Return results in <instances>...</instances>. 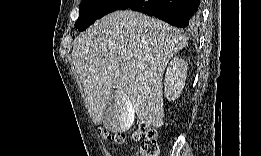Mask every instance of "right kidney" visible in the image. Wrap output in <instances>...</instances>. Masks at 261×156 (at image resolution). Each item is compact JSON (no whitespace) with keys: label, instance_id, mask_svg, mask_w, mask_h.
Returning a JSON list of instances; mask_svg holds the SVG:
<instances>
[{"label":"right kidney","instance_id":"1","mask_svg":"<svg viewBox=\"0 0 261 156\" xmlns=\"http://www.w3.org/2000/svg\"><path fill=\"white\" fill-rule=\"evenodd\" d=\"M187 64L183 59L175 57L166 70L164 80L165 97L169 101L177 99L185 85Z\"/></svg>","mask_w":261,"mask_h":156}]
</instances>
